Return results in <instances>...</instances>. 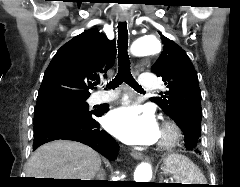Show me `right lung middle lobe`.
Returning <instances> with one entry per match:
<instances>
[{
	"label": "right lung middle lobe",
	"instance_id": "1",
	"mask_svg": "<svg viewBox=\"0 0 240 187\" xmlns=\"http://www.w3.org/2000/svg\"><path fill=\"white\" fill-rule=\"evenodd\" d=\"M86 98L60 99L36 106L34 110V119L44 116L51 112H59L72 117L88 116L93 112L89 110Z\"/></svg>",
	"mask_w": 240,
	"mask_h": 187
}]
</instances>
